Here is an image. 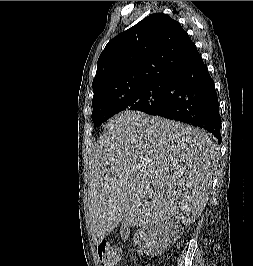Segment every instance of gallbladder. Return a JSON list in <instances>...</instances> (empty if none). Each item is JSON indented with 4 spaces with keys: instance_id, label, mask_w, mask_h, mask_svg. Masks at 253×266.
Segmentation results:
<instances>
[{
    "instance_id": "bac80fb5",
    "label": "gallbladder",
    "mask_w": 253,
    "mask_h": 266,
    "mask_svg": "<svg viewBox=\"0 0 253 266\" xmlns=\"http://www.w3.org/2000/svg\"><path fill=\"white\" fill-rule=\"evenodd\" d=\"M127 233H128V228H125L124 226H122L121 229H120V235H121V237H123Z\"/></svg>"
}]
</instances>
